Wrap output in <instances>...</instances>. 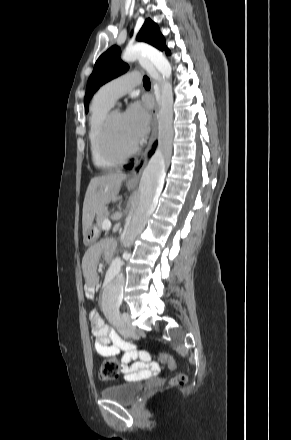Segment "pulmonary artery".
I'll use <instances>...</instances> for the list:
<instances>
[{
  "mask_svg": "<svg viewBox=\"0 0 291 440\" xmlns=\"http://www.w3.org/2000/svg\"><path fill=\"white\" fill-rule=\"evenodd\" d=\"M142 81L138 73H127L107 82L98 91L100 96L107 101L114 103L119 97L129 93Z\"/></svg>",
  "mask_w": 291,
  "mask_h": 440,
  "instance_id": "e3ab8cb5",
  "label": "pulmonary artery"
}]
</instances>
